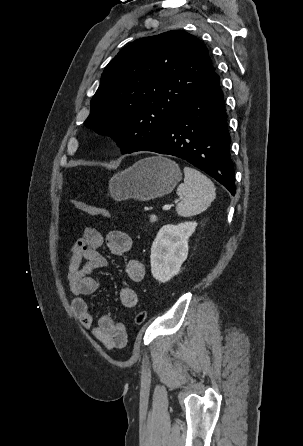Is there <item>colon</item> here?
Here are the masks:
<instances>
[{"label": "colon", "instance_id": "obj_1", "mask_svg": "<svg viewBox=\"0 0 303 446\" xmlns=\"http://www.w3.org/2000/svg\"><path fill=\"white\" fill-rule=\"evenodd\" d=\"M72 203L78 210L90 216L101 217L104 219L110 218L108 210L104 208L98 207L96 205L78 199L73 200ZM146 319H147V312L144 310L139 311L135 316V324L137 326H140L146 321Z\"/></svg>", "mask_w": 303, "mask_h": 446}]
</instances>
